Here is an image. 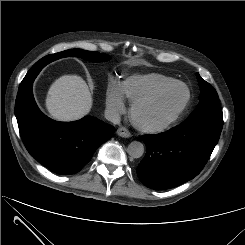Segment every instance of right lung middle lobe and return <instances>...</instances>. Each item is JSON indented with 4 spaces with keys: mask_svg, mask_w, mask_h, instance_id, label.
Masks as SVG:
<instances>
[{
    "mask_svg": "<svg viewBox=\"0 0 245 245\" xmlns=\"http://www.w3.org/2000/svg\"><path fill=\"white\" fill-rule=\"evenodd\" d=\"M69 56H71V57L79 56V57H82L84 59L91 60V61H105V60L110 59V56L107 54H103V53L100 54L98 52L85 51V50H81V49H71V50L62 51V52H59L56 54L48 55V58H49V61L51 62V61H54L56 59H59L62 57H69ZM39 61L37 63H35V65L43 67L44 65H41ZM24 88H25V84H24V80H23V82L21 83V85L19 87V91H22Z\"/></svg>",
    "mask_w": 245,
    "mask_h": 245,
    "instance_id": "dd1d6c3e",
    "label": "right lung middle lobe"
}]
</instances>
